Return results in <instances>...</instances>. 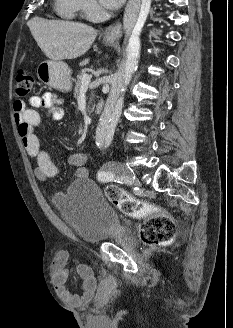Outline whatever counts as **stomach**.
<instances>
[{
	"instance_id": "1",
	"label": "stomach",
	"mask_w": 233,
	"mask_h": 328,
	"mask_svg": "<svg viewBox=\"0 0 233 328\" xmlns=\"http://www.w3.org/2000/svg\"><path fill=\"white\" fill-rule=\"evenodd\" d=\"M105 43L112 45L114 39L106 38ZM37 75L41 82L62 92L71 89V71L63 61L46 60L41 62L37 68Z\"/></svg>"
}]
</instances>
